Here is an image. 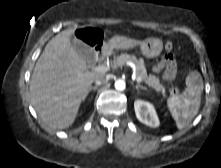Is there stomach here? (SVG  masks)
<instances>
[{
  "instance_id": "0dacf381",
  "label": "stomach",
  "mask_w": 221,
  "mask_h": 168,
  "mask_svg": "<svg viewBox=\"0 0 221 168\" xmlns=\"http://www.w3.org/2000/svg\"><path fill=\"white\" fill-rule=\"evenodd\" d=\"M140 50L146 58H155L163 50V42L159 38H147L140 43Z\"/></svg>"
}]
</instances>
